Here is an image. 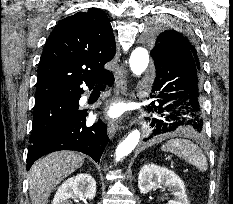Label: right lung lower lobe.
Listing matches in <instances>:
<instances>
[{
	"label": "right lung lower lobe",
	"instance_id": "1",
	"mask_svg": "<svg viewBox=\"0 0 233 204\" xmlns=\"http://www.w3.org/2000/svg\"><path fill=\"white\" fill-rule=\"evenodd\" d=\"M103 81L112 86V73ZM106 130V125L100 119L93 126L87 127L86 112L77 110L61 126L28 147L26 168L30 169L34 161L43 155L60 150L79 151L99 162L108 143Z\"/></svg>",
	"mask_w": 233,
	"mask_h": 204
}]
</instances>
